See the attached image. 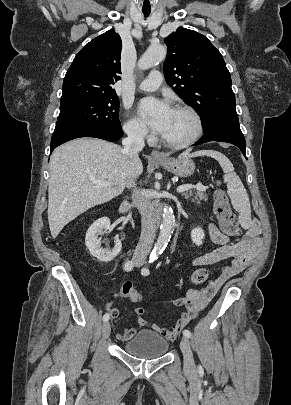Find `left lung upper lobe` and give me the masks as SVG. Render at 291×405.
Masks as SVG:
<instances>
[{"label":"left lung upper lobe","mask_w":291,"mask_h":405,"mask_svg":"<svg viewBox=\"0 0 291 405\" xmlns=\"http://www.w3.org/2000/svg\"><path fill=\"white\" fill-rule=\"evenodd\" d=\"M166 82L201 116L205 133L222 123L239 124L231 77L221 53L204 35L179 27L164 39Z\"/></svg>","instance_id":"left-lung-upper-lobe-1"}]
</instances>
